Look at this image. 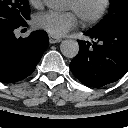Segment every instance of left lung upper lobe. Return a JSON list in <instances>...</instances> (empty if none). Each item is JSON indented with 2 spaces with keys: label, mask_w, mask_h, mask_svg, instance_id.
I'll return each instance as SVG.
<instances>
[{
  "label": "left lung upper lobe",
  "mask_w": 128,
  "mask_h": 128,
  "mask_svg": "<svg viewBox=\"0 0 128 128\" xmlns=\"http://www.w3.org/2000/svg\"><path fill=\"white\" fill-rule=\"evenodd\" d=\"M125 25H128V0H110L109 13L92 29L106 32Z\"/></svg>",
  "instance_id": "5c2ea615"
}]
</instances>
